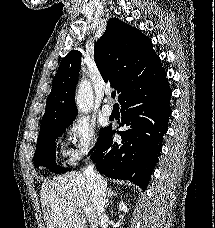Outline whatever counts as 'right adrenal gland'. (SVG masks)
Masks as SVG:
<instances>
[{
    "label": "right adrenal gland",
    "mask_w": 215,
    "mask_h": 228,
    "mask_svg": "<svg viewBox=\"0 0 215 228\" xmlns=\"http://www.w3.org/2000/svg\"><path fill=\"white\" fill-rule=\"evenodd\" d=\"M113 196H117V194H116V192H114V190H111V188H109L108 196H107V202H106L107 208L109 206V200H112Z\"/></svg>",
    "instance_id": "2a0ac1e0"
}]
</instances>
